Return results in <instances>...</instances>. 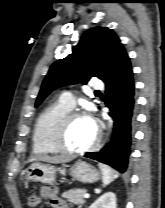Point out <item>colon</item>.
Listing matches in <instances>:
<instances>
[{
	"instance_id": "colon-1",
	"label": "colon",
	"mask_w": 165,
	"mask_h": 208,
	"mask_svg": "<svg viewBox=\"0 0 165 208\" xmlns=\"http://www.w3.org/2000/svg\"><path fill=\"white\" fill-rule=\"evenodd\" d=\"M27 204L30 208H36L39 204V197L33 192H29L26 195Z\"/></svg>"
}]
</instances>
